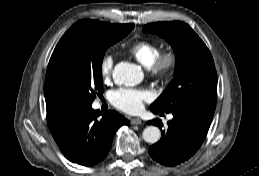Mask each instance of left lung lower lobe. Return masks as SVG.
<instances>
[{"label":"left lung lower lobe","mask_w":259,"mask_h":176,"mask_svg":"<svg viewBox=\"0 0 259 176\" xmlns=\"http://www.w3.org/2000/svg\"><path fill=\"white\" fill-rule=\"evenodd\" d=\"M157 114L159 112L151 110ZM167 130H161V139L149 148L150 156L157 162L174 166L188 160L202 145L212 120V115L193 109L172 112ZM162 129L163 124L155 119L147 122Z\"/></svg>","instance_id":"obj_1"}]
</instances>
